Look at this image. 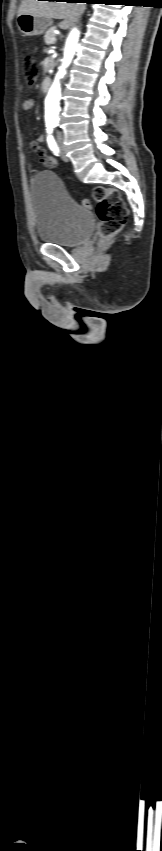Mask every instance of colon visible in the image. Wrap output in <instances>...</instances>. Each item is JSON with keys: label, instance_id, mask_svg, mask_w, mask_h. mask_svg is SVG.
I'll return each mask as SVG.
<instances>
[{"label": "colon", "instance_id": "5ec220e1", "mask_svg": "<svg viewBox=\"0 0 162 851\" xmlns=\"http://www.w3.org/2000/svg\"><path fill=\"white\" fill-rule=\"evenodd\" d=\"M38 67L30 58L24 59V79L28 87H33L38 76ZM93 200L96 203V213L100 220V239L102 242L117 234L125 225L127 220V207L118 190L114 188L97 186L92 191ZM85 207H92V203L83 200Z\"/></svg>", "mask_w": 162, "mask_h": 851}]
</instances>
